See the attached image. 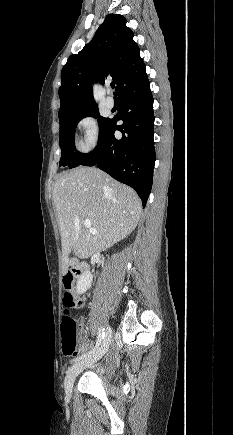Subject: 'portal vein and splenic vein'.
I'll return each instance as SVG.
<instances>
[{
    "label": "portal vein and splenic vein",
    "instance_id": "1",
    "mask_svg": "<svg viewBox=\"0 0 233 435\" xmlns=\"http://www.w3.org/2000/svg\"><path fill=\"white\" fill-rule=\"evenodd\" d=\"M84 226H85V228L89 229L91 233H93V234H97L98 233L94 228H92L91 221L89 219H86L84 221Z\"/></svg>",
    "mask_w": 233,
    "mask_h": 435
}]
</instances>
